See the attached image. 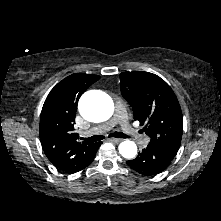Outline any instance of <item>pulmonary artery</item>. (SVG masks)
<instances>
[{
  "mask_svg": "<svg viewBox=\"0 0 221 221\" xmlns=\"http://www.w3.org/2000/svg\"><path fill=\"white\" fill-rule=\"evenodd\" d=\"M119 124L123 132L135 136V129L128 123L127 115L124 106L121 103L116 104V110L114 117L106 122L104 125L96 128L95 133H102L112 129L115 125ZM138 139L142 146H146L149 142L147 136H138Z\"/></svg>",
  "mask_w": 221,
  "mask_h": 221,
  "instance_id": "e3ab8cb5",
  "label": "pulmonary artery"
}]
</instances>
